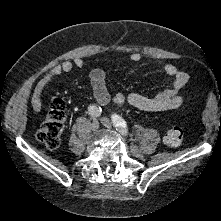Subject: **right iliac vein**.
Returning <instances> with one entry per match:
<instances>
[{
  "label": "right iliac vein",
  "mask_w": 221,
  "mask_h": 221,
  "mask_svg": "<svg viewBox=\"0 0 221 221\" xmlns=\"http://www.w3.org/2000/svg\"><path fill=\"white\" fill-rule=\"evenodd\" d=\"M99 128V122L97 120H94L92 123V130L97 131Z\"/></svg>",
  "instance_id": "63e3f726"
}]
</instances>
